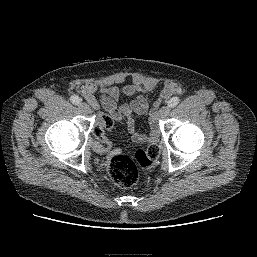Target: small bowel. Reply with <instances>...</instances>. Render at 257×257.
<instances>
[{"label":"small bowel","instance_id":"obj_1","mask_svg":"<svg viewBox=\"0 0 257 257\" xmlns=\"http://www.w3.org/2000/svg\"><path fill=\"white\" fill-rule=\"evenodd\" d=\"M155 84L150 83L144 87L138 85L126 86H97L93 83H86L81 88V93L92 109L97 110L102 107L107 115L116 121H126L127 129L132 136L133 141L137 143L155 142L158 139L159 129L156 121V112L158 106L149 107L147 100L141 95L151 91ZM175 92V86L167 82L163 89L164 96H170ZM100 95V99L97 98ZM122 96L131 98L128 103H120ZM147 116L149 119L150 130L148 133L137 131L135 116Z\"/></svg>","mask_w":257,"mask_h":257}]
</instances>
